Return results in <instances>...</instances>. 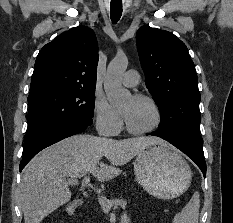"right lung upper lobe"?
I'll list each match as a JSON object with an SVG mask.
<instances>
[{"mask_svg": "<svg viewBox=\"0 0 233 223\" xmlns=\"http://www.w3.org/2000/svg\"><path fill=\"white\" fill-rule=\"evenodd\" d=\"M98 43L93 30L75 27L46 44L39 52L30 94L53 88H94Z\"/></svg>", "mask_w": 233, "mask_h": 223, "instance_id": "obj_1", "label": "right lung upper lobe"}]
</instances>
